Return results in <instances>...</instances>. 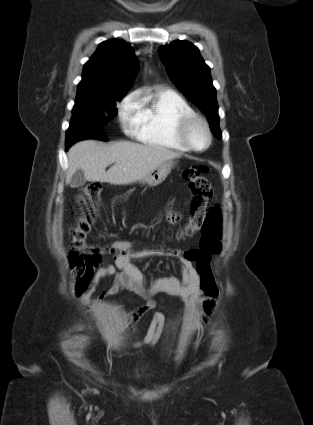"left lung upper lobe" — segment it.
<instances>
[{
    "label": "left lung upper lobe",
    "instance_id": "left-lung-upper-lobe-1",
    "mask_svg": "<svg viewBox=\"0 0 313 425\" xmlns=\"http://www.w3.org/2000/svg\"><path fill=\"white\" fill-rule=\"evenodd\" d=\"M159 55L172 82L206 115L212 133L221 139L216 89L199 49L188 41L177 40L160 46Z\"/></svg>",
    "mask_w": 313,
    "mask_h": 425
}]
</instances>
